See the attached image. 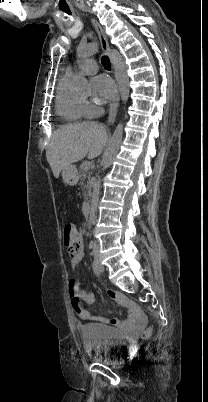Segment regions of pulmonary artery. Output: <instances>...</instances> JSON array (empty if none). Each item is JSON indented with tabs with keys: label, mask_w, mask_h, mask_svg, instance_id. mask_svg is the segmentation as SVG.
I'll return each instance as SVG.
<instances>
[{
	"label": "pulmonary artery",
	"mask_w": 208,
	"mask_h": 402,
	"mask_svg": "<svg viewBox=\"0 0 208 402\" xmlns=\"http://www.w3.org/2000/svg\"><path fill=\"white\" fill-rule=\"evenodd\" d=\"M83 51L87 56L92 55V53L87 52L82 47ZM97 70V65L90 59H77L73 65H69L66 68V72H69L71 74H75L77 72H82L84 74H94Z\"/></svg>",
	"instance_id": "e3ab8cb5"
}]
</instances>
